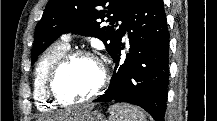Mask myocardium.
<instances>
[{
    "instance_id": "myocardium-1",
    "label": "myocardium",
    "mask_w": 217,
    "mask_h": 121,
    "mask_svg": "<svg viewBox=\"0 0 217 121\" xmlns=\"http://www.w3.org/2000/svg\"><path fill=\"white\" fill-rule=\"evenodd\" d=\"M78 58H88L98 64L101 71L100 81L95 90L88 97L81 100L65 99L57 91L56 80L59 73ZM108 81L109 71L104 61L90 51L77 49L68 51L53 65L47 77L46 91L48 97L54 104L61 106L84 105L97 98L105 89Z\"/></svg>"
}]
</instances>
